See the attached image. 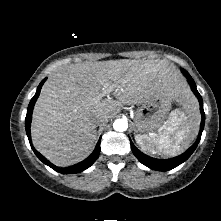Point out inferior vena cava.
I'll return each mask as SVG.
<instances>
[{
	"mask_svg": "<svg viewBox=\"0 0 221 221\" xmlns=\"http://www.w3.org/2000/svg\"><path fill=\"white\" fill-rule=\"evenodd\" d=\"M106 122H108V117L106 115L98 114L95 118V123L97 125L104 124Z\"/></svg>",
	"mask_w": 221,
	"mask_h": 221,
	"instance_id": "602c4592",
	"label": "inferior vena cava"
}]
</instances>
